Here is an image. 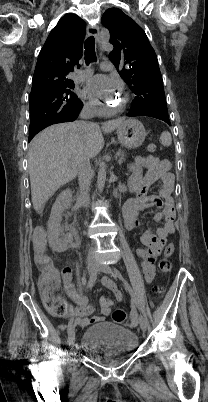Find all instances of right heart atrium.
Wrapping results in <instances>:
<instances>
[{"label":"right heart atrium","instance_id":"d8ad5b80","mask_svg":"<svg viewBox=\"0 0 208 402\" xmlns=\"http://www.w3.org/2000/svg\"><path fill=\"white\" fill-rule=\"evenodd\" d=\"M84 108L92 114H99L102 111L99 103L96 100L84 102Z\"/></svg>","mask_w":208,"mask_h":402}]
</instances>
